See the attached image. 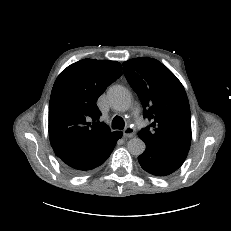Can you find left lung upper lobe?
<instances>
[{
  "label": "left lung upper lobe",
  "instance_id": "obj_1",
  "mask_svg": "<svg viewBox=\"0 0 231 231\" xmlns=\"http://www.w3.org/2000/svg\"><path fill=\"white\" fill-rule=\"evenodd\" d=\"M127 81L137 93L144 117L152 121L138 135L146 143L187 152L191 145V113L185 89L161 62L148 57L123 63Z\"/></svg>",
  "mask_w": 231,
  "mask_h": 231
}]
</instances>
